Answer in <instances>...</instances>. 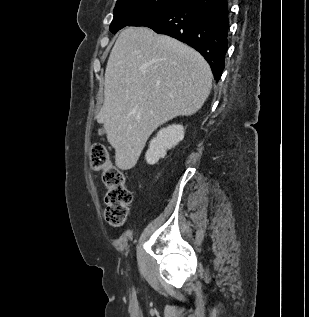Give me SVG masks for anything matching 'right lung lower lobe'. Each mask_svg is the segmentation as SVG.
I'll return each instance as SVG.
<instances>
[{
  "label": "right lung lower lobe",
  "mask_w": 309,
  "mask_h": 317,
  "mask_svg": "<svg viewBox=\"0 0 309 317\" xmlns=\"http://www.w3.org/2000/svg\"><path fill=\"white\" fill-rule=\"evenodd\" d=\"M128 26H146L190 45L204 56L215 80L220 79L228 46L227 0H182L146 13Z\"/></svg>",
  "instance_id": "98d812e1"
}]
</instances>
